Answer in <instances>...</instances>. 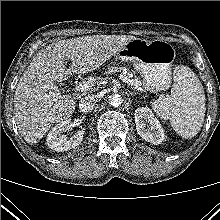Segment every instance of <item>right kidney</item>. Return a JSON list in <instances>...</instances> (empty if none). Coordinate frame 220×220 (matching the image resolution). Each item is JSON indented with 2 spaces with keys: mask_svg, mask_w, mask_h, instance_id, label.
<instances>
[{
  "mask_svg": "<svg viewBox=\"0 0 220 220\" xmlns=\"http://www.w3.org/2000/svg\"><path fill=\"white\" fill-rule=\"evenodd\" d=\"M71 127L72 123L70 120L62 121L53 127L47 135V146L57 152L68 151L79 146L83 140L85 131L84 129L79 130L72 137H67L62 134L63 132L69 131Z\"/></svg>",
  "mask_w": 220,
  "mask_h": 220,
  "instance_id": "right-kidney-1",
  "label": "right kidney"
}]
</instances>
